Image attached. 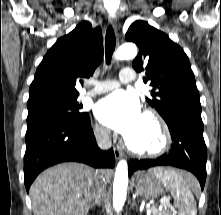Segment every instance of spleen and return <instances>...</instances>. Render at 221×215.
Segmentation results:
<instances>
[{"label":"spleen","instance_id":"1","mask_svg":"<svg viewBox=\"0 0 221 215\" xmlns=\"http://www.w3.org/2000/svg\"><path fill=\"white\" fill-rule=\"evenodd\" d=\"M159 172L166 188L171 192L177 203L179 215H196V202L192 194V189L197 187V181L191 174L182 171L169 170Z\"/></svg>","mask_w":221,"mask_h":215}]
</instances>
